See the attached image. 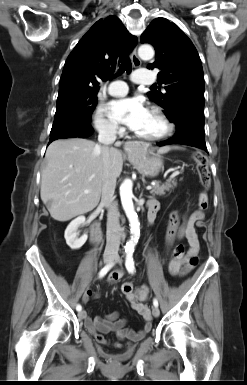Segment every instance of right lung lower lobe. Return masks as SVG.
I'll list each match as a JSON object with an SVG mask.
<instances>
[{"label":"right lung lower lobe","mask_w":247,"mask_h":385,"mask_svg":"<svg viewBox=\"0 0 247 385\" xmlns=\"http://www.w3.org/2000/svg\"><path fill=\"white\" fill-rule=\"evenodd\" d=\"M93 132L90 122L73 121L51 130L49 143L60 138L87 137Z\"/></svg>","instance_id":"right-lung-lower-lobe-1"}]
</instances>
